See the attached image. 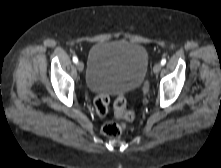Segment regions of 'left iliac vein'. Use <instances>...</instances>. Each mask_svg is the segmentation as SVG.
Listing matches in <instances>:
<instances>
[{"label": "left iliac vein", "instance_id": "1", "mask_svg": "<svg viewBox=\"0 0 221 168\" xmlns=\"http://www.w3.org/2000/svg\"><path fill=\"white\" fill-rule=\"evenodd\" d=\"M160 70H161V64L159 63L155 64L153 67V72L157 74L160 72Z\"/></svg>", "mask_w": 221, "mask_h": 168}]
</instances>
